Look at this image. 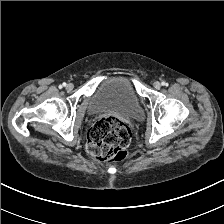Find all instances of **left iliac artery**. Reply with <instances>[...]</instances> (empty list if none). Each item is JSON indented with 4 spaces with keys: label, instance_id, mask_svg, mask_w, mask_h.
<instances>
[{
    "label": "left iliac artery",
    "instance_id": "left-iliac-artery-1",
    "mask_svg": "<svg viewBox=\"0 0 224 224\" xmlns=\"http://www.w3.org/2000/svg\"><path fill=\"white\" fill-rule=\"evenodd\" d=\"M162 85H163V86H168V83H166V82H162Z\"/></svg>",
    "mask_w": 224,
    "mask_h": 224
}]
</instances>
